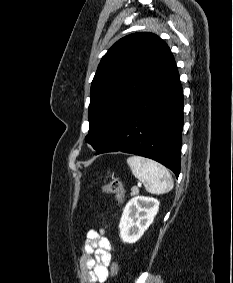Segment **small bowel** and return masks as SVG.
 Listing matches in <instances>:
<instances>
[{
	"mask_svg": "<svg viewBox=\"0 0 233 283\" xmlns=\"http://www.w3.org/2000/svg\"><path fill=\"white\" fill-rule=\"evenodd\" d=\"M79 272L85 282L104 283L109 276L112 245L103 231L90 230L81 248Z\"/></svg>",
	"mask_w": 233,
	"mask_h": 283,
	"instance_id": "obj_1",
	"label": "small bowel"
}]
</instances>
